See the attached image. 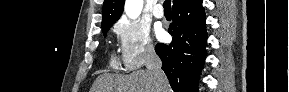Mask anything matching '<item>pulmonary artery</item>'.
<instances>
[{"instance_id": "pulmonary-artery-1", "label": "pulmonary artery", "mask_w": 289, "mask_h": 92, "mask_svg": "<svg viewBox=\"0 0 289 92\" xmlns=\"http://www.w3.org/2000/svg\"><path fill=\"white\" fill-rule=\"evenodd\" d=\"M153 15L156 17V18H162L164 16V12H163V9L161 7V5H156L153 9Z\"/></svg>"}]
</instances>
